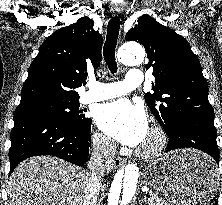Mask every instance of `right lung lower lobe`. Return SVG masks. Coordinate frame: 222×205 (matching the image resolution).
<instances>
[{"label":"right lung lower lobe","mask_w":222,"mask_h":205,"mask_svg":"<svg viewBox=\"0 0 222 205\" xmlns=\"http://www.w3.org/2000/svg\"><path fill=\"white\" fill-rule=\"evenodd\" d=\"M90 131L91 125H68L45 113H15L9 149V175L21 161L37 155H53L83 166L91 148Z\"/></svg>","instance_id":"1"}]
</instances>
